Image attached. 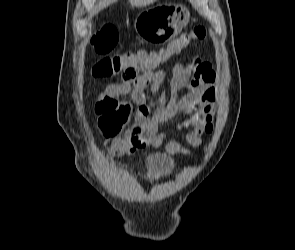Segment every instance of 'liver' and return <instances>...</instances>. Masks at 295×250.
Wrapping results in <instances>:
<instances>
[{
  "mask_svg": "<svg viewBox=\"0 0 295 250\" xmlns=\"http://www.w3.org/2000/svg\"><path fill=\"white\" fill-rule=\"evenodd\" d=\"M130 4L135 7H144L156 2V0H129Z\"/></svg>",
  "mask_w": 295,
  "mask_h": 250,
  "instance_id": "liver-1",
  "label": "liver"
}]
</instances>
